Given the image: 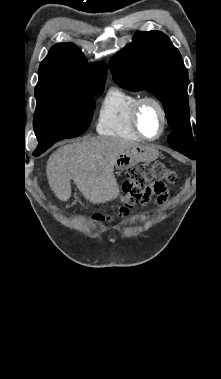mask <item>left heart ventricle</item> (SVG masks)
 Here are the masks:
<instances>
[{
    "mask_svg": "<svg viewBox=\"0 0 221 379\" xmlns=\"http://www.w3.org/2000/svg\"><path fill=\"white\" fill-rule=\"evenodd\" d=\"M140 127L148 136H155L161 127V118L158 109L152 105H145L140 113Z\"/></svg>",
    "mask_w": 221,
    "mask_h": 379,
    "instance_id": "left-heart-ventricle-1",
    "label": "left heart ventricle"
}]
</instances>
